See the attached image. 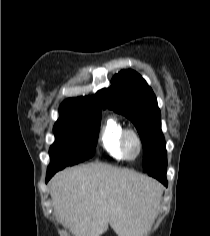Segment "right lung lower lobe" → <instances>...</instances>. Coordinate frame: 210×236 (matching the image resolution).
<instances>
[{"label": "right lung lower lobe", "mask_w": 210, "mask_h": 236, "mask_svg": "<svg viewBox=\"0 0 210 236\" xmlns=\"http://www.w3.org/2000/svg\"><path fill=\"white\" fill-rule=\"evenodd\" d=\"M65 165H49L48 169H47V175H46V182H48L50 180V178L59 170H62L63 168H65Z\"/></svg>", "instance_id": "1"}]
</instances>
